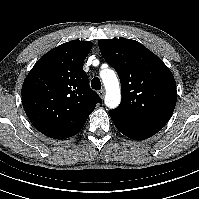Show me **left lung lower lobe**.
<instances>
[{"label":"left lung lower lobe","instance_id":"0a47b994","mask_svg":"<svg viewBox=\"0 0 199 199\" xmlns=\"http://www.w3.org/2000/svg\"><path fill=\"white\" fill-rule=\"evenodd\" d=\"M109 115L116 128L122 134L126 135L131 139L144 140L157 133V131H154L152 129H149L147 127L141 126L128 120L126 117L115 112L114 110L109 111Z\"/></svg>","mask_w":199,"mask_h":199}]
</instances>
